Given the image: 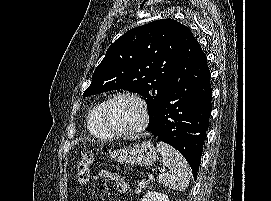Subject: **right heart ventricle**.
<instances>
[{
	"mask_svg": "<svg viewBox=\"0 0 271 201\" xmlns=\"http://www.w3.org/2000/svg\"><path fill=\"white\" fill-rule=\"evenodd\" d=\"M103 101L97 103L88 114L87 128L91 135L98 138H111L114 136L104 125L101 117Z\"/></svg>",
	"mask_w": 271,
	"mask_h": 201,
	"instance_id": "obj_1",
	"label": "right heart ventricle"
}]
</instances>
